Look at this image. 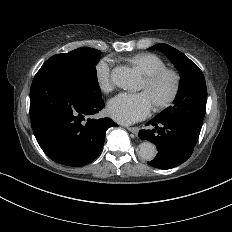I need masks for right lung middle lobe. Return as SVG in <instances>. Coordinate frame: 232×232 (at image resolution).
Here are the masks:
<instances>
[{
	"label": "right lung middle lobe",
	"instance_id": "right-lung-middle-lobe-1",
	"mask_svg": "<svg viewBox=\"0 0 232 232\" xmlns=\"http://www.w3.org/2000/svg\"><path fill=\"white\" fill-rule=\"evenodd\" d=\"M100 59V50L81 47L68 53L57 54L46 63H60L75 69L93 98H101V90L97 80L95 65Z\"/></svg>",
	"mask_w": 232,
	"mask_h": 232
}]
</instances>
